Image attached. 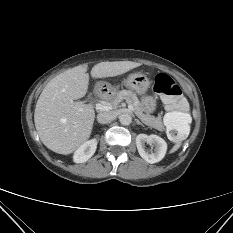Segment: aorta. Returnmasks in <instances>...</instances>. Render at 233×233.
Listing matches in <instances>:
<instances>
[{"label": "aorta", "instance_id": "obj_1", "mask_svg": "<svg viewBox=\"0 0 233 233\" xmlns=\"http://www.w3.org/2000/svg\"><path fill=\"white\" fill-rule=\"evenodd\" d=\"M119 121L122 125H129L132 122V117L129 113H123L119 116Z\"/></svg>", "mask_w": 233, "mask_h": 233}]
</instances>
